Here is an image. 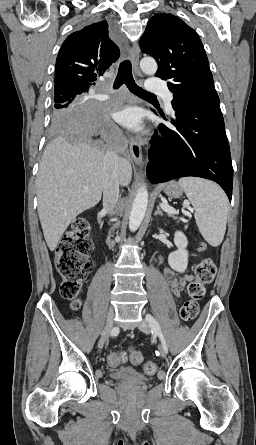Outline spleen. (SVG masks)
Wrapping results in <instances>:
<instances>
[{"label": "spleen", "mask_w": 256, "mask_h": 445, "mask_svg": "<svg viewBox=\"0 0 256 445\" xmlns=\"http://www.w3.org/2000/svg\"><path fill=\"white\" fill-rule=\"evenodd\" d=\"M195 209V220L200 233L211 246L223 241L227 217L228 198L215 183L196 177H185L178 181Z\"/></svg>", "instance_id": "obj_1"}]
</instances>
